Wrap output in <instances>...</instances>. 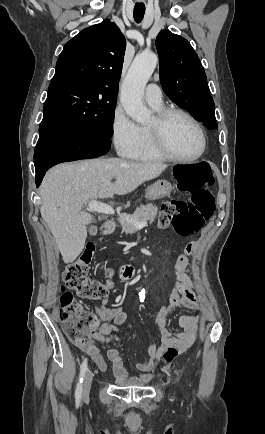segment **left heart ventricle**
<instances>
[{
    "instance_id": "left-heart-ventricle-1",
    "label": "left heart ventricle",
    "mask_w": 265,
    "mask_h": 434,
    "mask_svg": "<svg viewBox=\"0 0 265 434\" xmlns=\"http://www.w3.org/2000/svg\"><path fill=\"white\" fill-rule=\"evenodd\" d=\"M167 140L180 157H193L201 148V139L195 126L182 115H173L168 124Z\"/></svg>"
}]
</instances>
